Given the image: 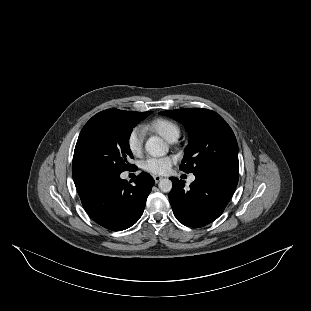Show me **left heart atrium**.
Segmentation results:
<instances>
[{
    "mask_svg": "<svg viewBox=\"0 0 311 311\" xmlns=\"http://www.w3.org/2000/svg\"><path fill=\"white\" fill-rule=\"evenodd\" d=\"M177 161V156L173 154L161 158H149L142 162L141 168L146 173L156 176H165L170 172L172 166L175 165Z\"/></svg>",
    "mask_w": 311,
    "mask_h": 311,
    "instance_id": "left-heart-atrium-1",
    "label": "left heart atrium"
}]
</instances>
